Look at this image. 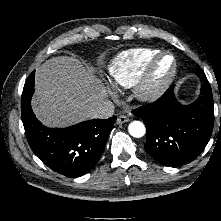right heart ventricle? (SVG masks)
Segmentation results:
<instances>
[{"instance_id":"obj_1","label":"right heart ventricle","mask_w":221,"mask_h":221,"mask_svg":"<svg viewBox=\"0 0 221 221\" xmlns=\"http://www.w3.org/2000/svg\"><path fill=\"white\" fill-rule=\"evenodd\" d=\"M159 52L153 48H134L118 53L107 66L112 83L121 88L133 87L147 64Z\"/></svg>"}]
</instances>
